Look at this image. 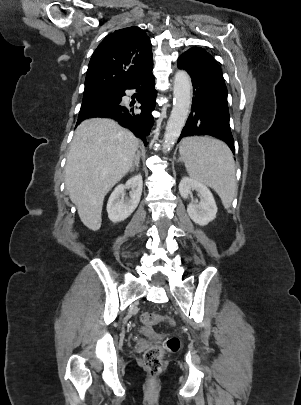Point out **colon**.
<instances>
[{"label":"colon","instance_id":"obj_1","mask_svg":"<svg viewBox=\"0 0 301 405\" xmlns=\"http://www.w3.org/2000/svg\"><path fill=\"white\" fill-rule=\"evenodd\" d=\"M162 316L155 313H144L141 321L145 326H153L162 320ZM180 348V339L177 336L169 337L165 344L155 345L147 349L143 355V363L152 378L163 369V359L167 352H177Z\"/></svg>","mask_w":301,"mask_h":405}]
</instances>
